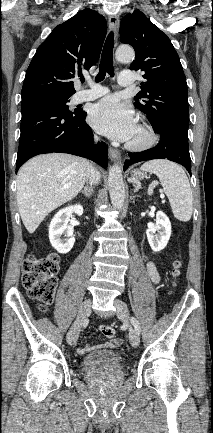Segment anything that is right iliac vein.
<instances>
[{"mask_svg": "<svg viewBox=\"0 0 213 433\" xmlns=\"http://www.w3.org/2000/svg\"><path fill=\"white\" fill-rule=\"evenodd\" d=\"M91 306H92L91 299H87L81 304L78 311L77 319L72 325V327L70 328V330L68 331L66 336L69 345H74L76 343L79 335L80 326L84 321V319L90 314Z\"/></svg>", "mask_w": 213, "mask_h": 433, "instance_id": "1", "label": "right iliac vein"}]
</instances>
